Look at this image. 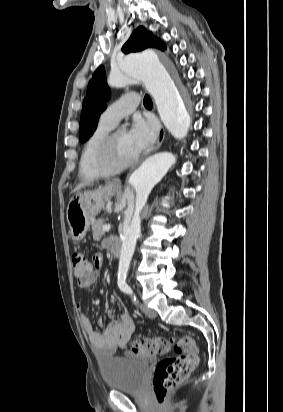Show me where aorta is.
<instances>
[{"label":"aorta","mask_w":283,"mask_h":412,"mask_svg":"<svg viewBox=\"0 0 283 412\" xmlns=\"http://www.w3.org/2000/svg\"><path fill=\"white\" fill-rule=\"evenodd\" d=\"M141 82L155 100L158 113L166 128L176 138L187 135L190 115L168 65L153 50L126 56L111 72L108 85L122 87ZM176 158L170 152H160L145 160L130 176L128 184L134 190L135 212L129 225L124 227L121 239L118 274L126 275L135 252L136 241L141 232L140 212L145 206L154 186L161 181L175 164Z\"/></svg>","instance_id":"aorta-1"}]
</instances>
